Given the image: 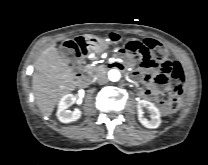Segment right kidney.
Here are the masks:
<instances>
[{
    "label": "right kidney",
    "mask_w": 208,
    "mask_h": 165,
    "mask_svg": "<svg viewBox=\"0 0 208 165\" xmlns=\"http://www.w3.org/2000/svg\"><path fill=\"white\" fill-rule=\"evenodd\" d=\"M83 95H84V91L80 90L79 91L80 99L78 100V103L82 102L81 97ZM73 99H74L73 94H66L59 101L56 115L62 123L74 122L81 117L82 112L79 109L76 108L73 111L69 110V107Z\"/></svg>",
    "instance_id": "right-kidney-1"
}]
</instances>
